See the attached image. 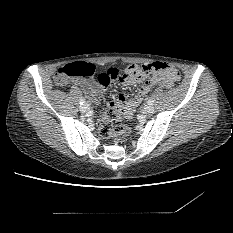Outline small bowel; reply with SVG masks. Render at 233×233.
I'll return each mask as SVG.
<instances>
[{"label":"small bowel","instance_id":"small-bowel-1","mask_svg":"<svg viewBox=\"0 0 233 233\" xmlns=\"http://www.w3.org/2000/svg\"><path fill=\"white\" fill-rule=\"evenodd\" d=\"M118 72L119 71L117 68L110 67L99 75L97 82H93L87 78H81L74 80V83L82 87L91 98L96 97L102 99L106 89L113 81L116 80ZM177 77V71H174L168 75L156 77L149 82L143 83L138 93L133 98L127 99L124 94H120L115 100L104 101L103 104L106 108L117 110L125 109L127 107L135 108L143 100L145 95L151 90L152 87L157 86L159 88H169L176 81ZM138 82L139 80L134 78L123 77L121 79V83L124 86H133Z\"/></svg>","mask_w":233,"mask_h":233}]
</instances>
